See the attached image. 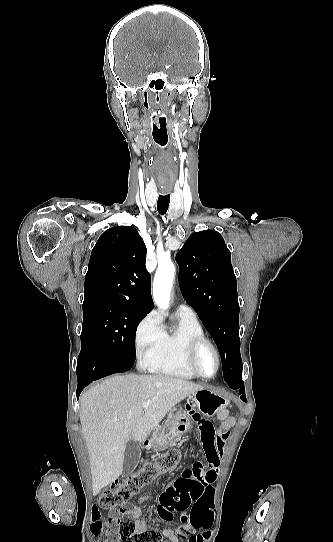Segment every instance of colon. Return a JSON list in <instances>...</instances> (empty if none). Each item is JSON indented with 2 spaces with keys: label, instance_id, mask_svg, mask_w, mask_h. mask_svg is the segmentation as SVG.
<instances>
[{
  "label": "colon",
  "instance_id": "obj_1",
  "mask_svg": "<svg viewBox=\"0 0 333 542\" xmlns=\"http://www.w3.org/2000/svg\"><path fill=\"white\" fill-rule=\"evenodd\" d=\"M181 460L179 451H168L164 456L153 462H146L140 469L114 484L110 489L101 493L98 507L107 510V515H93L92 530L99 540H116L119 527L123 542H163L159 539L158 531H137L131 522L132 513L136 510L134 502H128L140 488L148 485L157 476L174 470ZM217 462L215 458H192L190 466L185 468L184 479L171 483L170 489H162L159 504L156 507L158 520L162 523L172 522L174 516H187L182 518L183 524L213 525L217 518L210 506L213 503V485L211 483H197L191 481L193 477L202 481L212 479L216 474ZM202 502L207 505H197ZM123 507H119L122 506ZM112 529H103L102 526Z\"/></svg>",
  "mask_w": 333,
  "mask_h": 542
}]
</instances>
